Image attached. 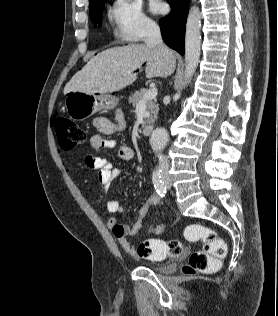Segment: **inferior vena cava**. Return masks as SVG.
Segmentation results:
<instances>
[{"mask_svg":"<svg viewBox=\"0 0 278 316\" xmlns=\"http://www.w3.org/2000/svg\"><path fill=\"white\" fill-rule=\"evenodd\" d=\"M143 39L148 46H161L164 47L165 45L163 44L162 37H161V32L159 26L153 22V21H148L144 25L143 29ZM159 168L163 172H168L169 165L165 157L160 156L159 157Z\"/></svg>","mask_w":278,"mask_h":316,"instance_id":"inferior-vena-cava-1","label":"inferior vena cava"}]
</instances>
